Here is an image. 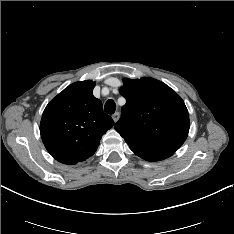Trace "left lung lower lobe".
Masks as SVG:
<instances>
[{"label": "left lung lower lobe", "instance_id": "1", "mask_svg": "<svg viewBox=\"0 0 234 234\" xmlns=\"http://www.w3.org/2000/svg\"><path fill=\"white\" fill-rule=\"evenodd\" d=\"M131 150L138 155L139 157L147 160V161H159L166 159L173 155L174 152H167V151H149V150H142L137 148H131Z\"/></svg>", "mask_w": 234, "mask_h": 234}]
</instances>
